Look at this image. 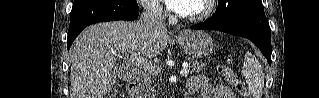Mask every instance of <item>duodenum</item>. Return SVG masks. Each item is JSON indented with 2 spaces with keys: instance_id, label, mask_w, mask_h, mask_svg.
Wrapping results in <instances>:
<instances>
[{
  "instance_id": "duodenum-1",
  "label": "duodenum",
  "mask_w": 319,
  "mask_h": 98,
  "mask_svg": "<svg viewBox=\"0 0 319 98\" xmlns=\"http://www.w3.org/2000/svg\"><path fill=\"white\" fill-rule=\"evenodd\" d=\"M141 81L139 78H133L127 83V92L129 98H141L140 96Z\"/></svg>"
}]
</instances>
